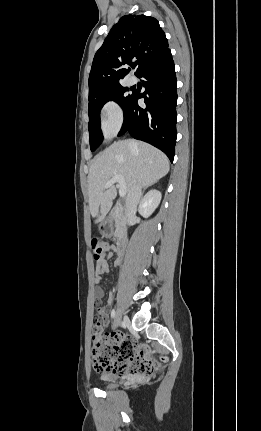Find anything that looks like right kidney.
I'll return each mask as SVG.
<instances>
[{
	"mask_svg": "<svg viewBox=\"0 0 261 431\" xmlns=\"http://www.w3.org/2000/svg\"><path fill=\"white\" fill-rule=\"evenodd\" d=\"M161 198L162 194L160 191L156 189L149 191L141 200L139 213L145 218L149 217L160 204Z\"/></svg>",
	"mask_w": 261,
	"mask_h": 431,
	"instance_id": "right-kidney-1",
	"label": "right kidney"
}]
</instances>
